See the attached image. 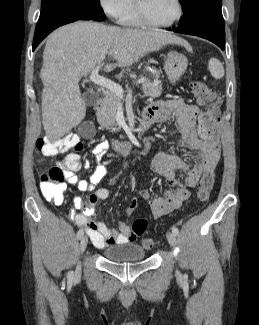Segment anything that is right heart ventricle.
Returning <instances> with one entry per match:
<instances>
[{"instance_id": "e07e8e85", "label": "right heart ventricle", "mask_w": 259, "mask_h": 325, "mask_svg": "<svg viewBox=\"0 0 259 325\" xmlns=\"http://www.w3.org/2000/svg\"><path fill=\"white\" fill-rule=\"evenodd\" d=\"M120 20L123 24L129 26H138L141 24L135 7H133L129 12H127Z\"/></svg>"}]
</instances>
